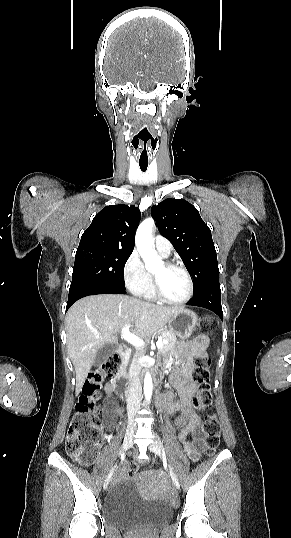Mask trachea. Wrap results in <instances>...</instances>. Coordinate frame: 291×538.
<instances>
[{
	"mask_svg": "<svg viewBox=\"0 0 291 538\" xmlns=\"http://www.w3.org/2000/svg\"><path fill=\"white\" fill-rule=\"evenodd\" d=\"M141 171L145 172L147 170L148 164H139Z\"/></svg>",
	"mask_w": 291,
	"mask_h": 538,
	"instance_id": "3493384b",
	"label": "trachea"
}]
</instances>
